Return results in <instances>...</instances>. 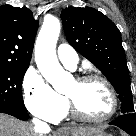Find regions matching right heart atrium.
<instances>
[{
  "instance_id": "right-heart-atrium-1",
  "label": "right heart atrium",
  "mask_w": 136,
  "mask_h": 136,
  "mask_svg": "<svg viewBox=\"0 0 136 136\" xmlns=\"http://www.w3.org/2000/svg\"><path fill=\"white\" fill-rule=\"evenodd\" d=\"M22 90L25 106L33 115L47 121H56L63 115L65 99L35 69L26 71Z\"/></svg>"
}]
</instances>
